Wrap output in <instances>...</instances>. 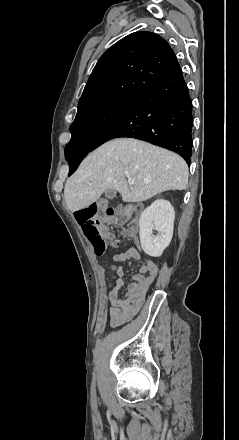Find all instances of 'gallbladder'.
I'll use <instances>...</instances> for the list:
<instances>
[{
	"label": "gallbladder",
	"mask_w": 239,
	"mask_h": 440,
	"mask_svg": "<svg viewBox=\"0 0 239 440\" xmlns=\"http://www.w3.org/2000/svg\"><path fill=\"white\" fill-rule=\"evenodd\" d=\"M105 196L108 198V200H112V198H115L116 196V190H107V192H105Z\"/></svg>",
	"instance_id": "gallbladder-1"
}]
</instances>
